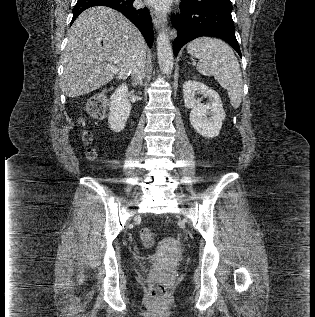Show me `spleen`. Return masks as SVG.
Listing matches in <instances>:
<instances>
[{
    "label": "spleen",
    "mask_w": 315,
    "mask_h": 317,
    "mask_svg": "<svg viewBox=\"0 0 315 317\" xmlns=\"http://www.w3.org/2000/svg\"><path fill=\"white\" fill-rule=\"evenodd\" d=\"M187 51L199 60L197 71L204 76H213L227 90L232 107L238 108L243 97V80L230 46L220 39L200 37L188 43Z\"/></svg>",
    "instance_id": "spleen-1"
}]
</instances>
